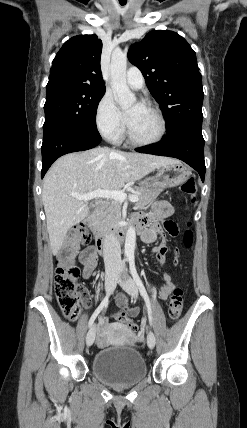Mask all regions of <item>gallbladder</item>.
<instances>
[{
	"instance_id": "1",
	"label": "gallbladder",
	"mask_w": 247,
	"mask_h": 428,
	"mask_svg": "<svg viewBox=\"0 0 247 428\" xmlns=\"http://www.w3.org/2000/svg\"><path fill=\"white\" fill-rule=\"evenodd\" d=\"M89 208H90V210H92L93 209V205H90Z\"/></svg>"
}]
</instances>
